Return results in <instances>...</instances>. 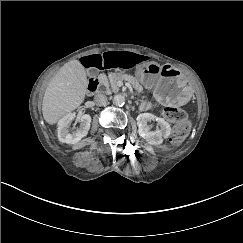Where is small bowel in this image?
I'll use <instances>...</instances> for the list:
<instances>
[{
    "label": "small bowel",
    "mask_w": 243,
    "mask_h": 243,
    "mask_svg": "<svg viewBox=\"0 0 243 243\" xmlns=\"http://www.w3.org/2000/svg\"><path fill=\"white\" fill-rule=\"evenodd\" d=\"M144 60V56L132 51L111 50L84 56L81 62L89 70H101L105 68L130 69Z\"/></svg>",
    "instance_id": "c3829d8e"
}]
</instances>
